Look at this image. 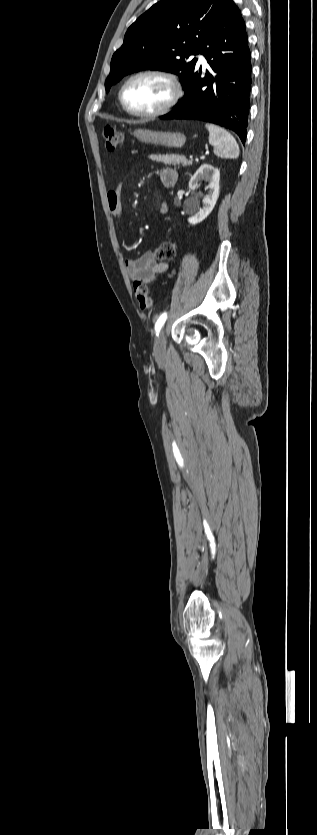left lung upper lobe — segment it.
I'll return each instance as SVG.
<instances>
[{
	"label": "left lung upper lobe",
	"mask_w": 317,
	"mask_h": 835,
	"mask_svg": "<svg viewBox=\"0 0 317 835\" xmlns=\"http://www.w3.org/2000/svg\"><path fill=\"white\" fill-rule=\"evenodd\" d=\"M232 0H162L142 14L127 30L124 43L111 60L105 88L140 70L177 74L183 88L189 83L199 53Z\"/></svg>",
	"instance_id": "1"
}]
</instances>
